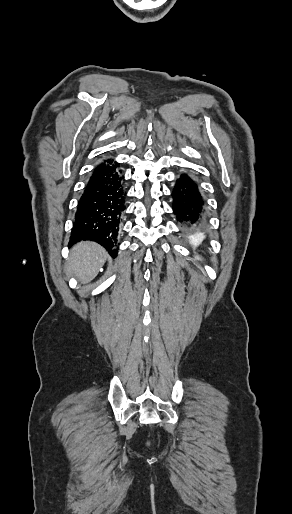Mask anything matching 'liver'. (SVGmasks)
Instances as JSON below:
<instances>
[{
  "label": "liver",
  "mask_w": 292,
  "mask_h": 514,
  "mask_svg": "<svg viewBox=\"0 0 292 514\" xmlns=\"http://www.w3.org/2000/svg\"><path fill=\"white\" fill-rule=\"evenodd\" d=\"M107 252L95 242H79L70 250L68 262L65 266L68 274L78 278L80 284H88L96 278L100 268L107 260Z\"/></svg>",
  "instance_id": "1"
}]
</instances>
